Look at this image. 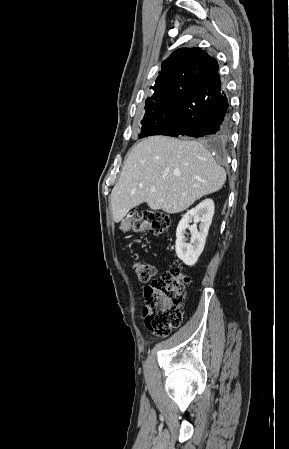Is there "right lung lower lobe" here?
Returning a JSON list of instances; mask_svg holds the SVG:
<instances>
[{
    "mask_svg": "<svg viewBox=\"0 0 289 449\" xmlns=\"http://www.w3.org/2000/svg\"><path fill=\"white\" fill-rule=\"evenodd\" d=\"M176 117L153 135L204 137L224 141L230 129L227 92L218 72L210 79L177 81L173 87Z\"/></svg>",
    "mask_w": 289,
    "mask_h": 449,
    "instance_id": "1",
    "label": "right lung lower lobe"
}]
</instances>
